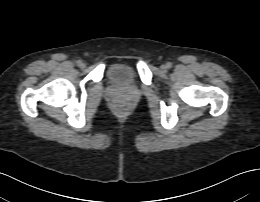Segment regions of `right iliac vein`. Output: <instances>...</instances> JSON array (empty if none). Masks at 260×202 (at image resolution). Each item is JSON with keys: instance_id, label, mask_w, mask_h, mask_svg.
<instances>
[{"instance_id": "63e3f726", "label": "right iliac vein", "mask_w": 260, "mask_h": 202, "mask_svg": "<svg viewBox=\"0 0 260 202\" xmlns=\"http://www.w3.org/2000/svg\"><path fill=\"white\" fill-rule=\"evenodd\" d=\"M85 66H86L85 63H82V64L80 65L81 68H85Z\"/></svg>"}]
</instances>
